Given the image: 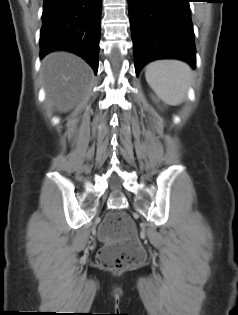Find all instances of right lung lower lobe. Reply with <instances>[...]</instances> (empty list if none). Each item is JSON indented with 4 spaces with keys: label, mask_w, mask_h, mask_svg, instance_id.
Masks as SVG:
<instances>
[{
    "label": "right lung lower lobe",
    "mask_w": 238,
    "mask_h": 315,
    "mask_svg": "<svg viewBox=\"0 0 238 315\" xmlns=\"http://www.w3.org/2000/svg\"><path fill=\"white\" fill-rule=\"evenodd\" d=\"M102 0H44L40 57L65 50L98 71Z\"/></svg>",
    "instance_id": "1"
}]
</instances>
